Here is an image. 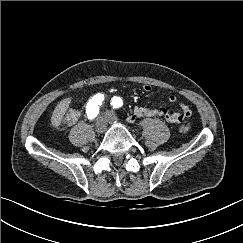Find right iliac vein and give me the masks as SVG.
I'll return each instance as SVG.
<instances>
[{
	"label": "right iliac vein",
	"mask_w": 243,
	"mask_h": 243,
	"mask_svg": "<svg viewBox=\"0 0 243 243\" xmlns=\"http://www.w3.org/2000/svg\"><path fill=\"white\" fill-rule=\"evenodd\" d=\"M107 128V120L105 116H100L96 121V131L98 133L105 132Z\"/></svg>",
	"instance_id": "63e3f726"
}]
</instances>
